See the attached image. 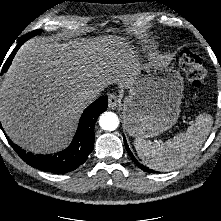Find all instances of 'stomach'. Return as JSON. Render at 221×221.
I'll return each mask as SVG.
<instances>
[{
	"label": "stomach",
	"mask_w": 221,
	"mask_h": 221,
	"mask_svg": "<svg viewBox=\"0 0 221 221\" xmlns=\"http://www.w3.org/2000/svg\"><path fill=\"white\" fill-rule=\"evenodd\" d=\"M183 81L180 75L151 61L139 70L130 84L123 102L126 131L136 138L157 136L178 120L181 109Z\"/></svg>",
	"instance_id": "stomach-1"
}]
</instances>
